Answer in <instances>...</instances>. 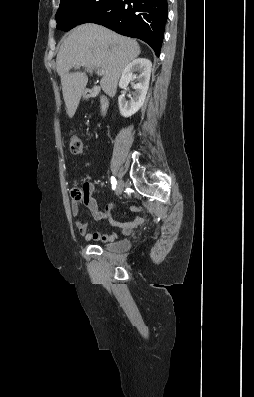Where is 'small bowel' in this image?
<instances>
[{
  "label": "small bowel",
  "instance_id": "c3829d8e",
  "mask_svg": "<svg viewBox=\"0 0 254 397\" xmlns=\"http://www.w3.org/2000/svg\"><path fill=\"white\" fill-rule=\"evenodd\" d=\"M90 166V163L86 162L83 168ZM94 185L91 183L87 184V200L84 202L86 207L91 212L92 217L96 221H107L110 225L118 228L121 235H129L131 231L142 224L143 220L140 217H135L132 221L127 223L117 222L112 216V205H108L104 211H100L98 203L92 196L94 192ZM132 212H139L141 207L132 206L130 208ZM71 211L73 216H77L79 213V206L75 200L72 201ZM75 227L78 233L83 236L87 241H101V242H112L115 241L119 234L115 232L102 233L100 231L88 232V224L82 220H77L75 222Z\"/></svg>",
  "mask_w": 254,
  "mask_h": 397
}]
</instances>
